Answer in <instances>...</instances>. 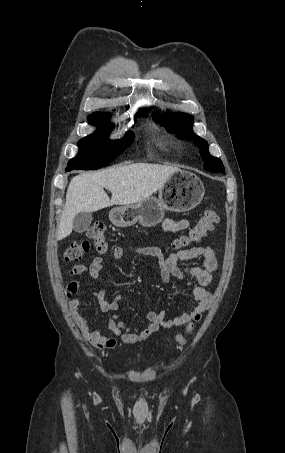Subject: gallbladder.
Segmentation results:
<instances>
[{
	"instance_id": "obj_1",
	"label": "gallbladder",
	"mask_w": 285,
	"mask_h": 453,
	"mask_svg": "<svg viewBox=\"0 0 285 453\" xmlns=\"http://www.w3.org/2000/svg\"><path fill=\"white\" fill-rule=\"evenodd\" d=\"M92 221V215L89 212H80L73 219V229L77 233H83L88 229Z\"/></svg>"
}]
</instances>
